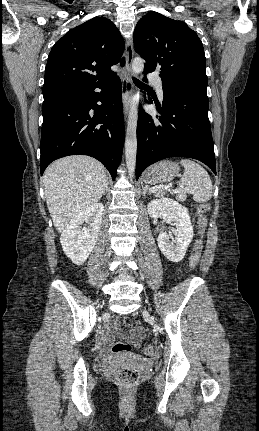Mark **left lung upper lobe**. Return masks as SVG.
Instances as JSON below:
<instances>
[{
	"label": "left lung upper lobe",
	"instance_id": "1",
	"mask_svg": "<svg viewBox=\"0 0 259 431\" xmlns=\"http://www.w3.org/2000/svg\"><path fill=\"white\" fill-rule=\"evenodd\" d=\"M134 47L146 61L144 71H160L163 86L206 94L203 44L186 23L156 12L148 13L137 23Z\"/></svg>",
	"mask_w": 259,
	"mask_h": 431
}]
</instances>
